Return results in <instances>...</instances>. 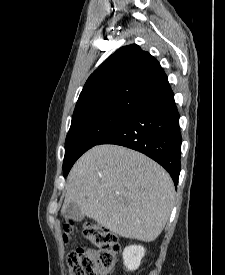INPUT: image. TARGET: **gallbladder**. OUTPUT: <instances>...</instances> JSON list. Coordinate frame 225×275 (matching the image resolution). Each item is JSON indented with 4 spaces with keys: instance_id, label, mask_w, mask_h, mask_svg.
<instances>
[{
    "instance_id": "obj_1",
    "label": "gallbladder",
    "mask_w": 225,
    "mask_h": 275,
    "mask_svg": "<svg viewBox=\"0 0 225 275\" xmlns=\"http://www.w3.org/2000/svg\"><path fill=\"white\" fill-rule=\"evenodd\" d=\"M63 215L66 219H71L76 222H80L84 219V214L75 202H72L67 206Z\"/></svg>"
}]
</instances>
